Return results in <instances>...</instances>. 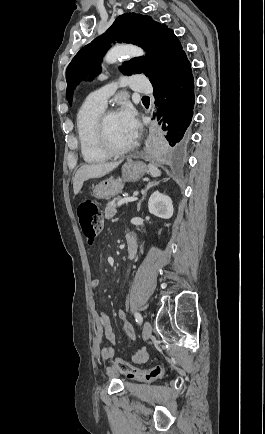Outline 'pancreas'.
<instances>
[{"mask_svg":"<svg viewBox=\"0 0 265 434\" xmlns=\"http://www.w3.org/2000/svg\"><path fill=\"white\" fill-rule=\"evenodd\" d=\"M120 200H123V198H121V196H118V198H116L115 200V204H111V202H108L104 212L106 220H112L113 216H115L117 212L116 208Z\"/></svg>","mask_w":265,"mask_h":434,"instance_id":"obj_1","label":"pancreas"}]
</instances>
